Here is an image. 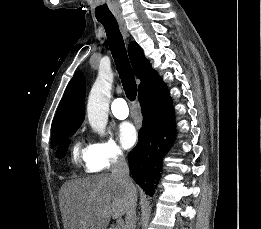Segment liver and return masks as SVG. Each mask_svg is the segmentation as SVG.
<instances>
[{
	"label": "liver",
	"mask_w": 261,
	"mask_h": 229,
	"mask_svg": "<svg viewBox=\"0 0 261 229\" xmlns=\"http://www.w3.org/2000/svg\"><path fill=\"white\" fill-rule=\"evenodd\" d=\"M65 191L67 229H107L111 217L120 219L127 213L131 199L137 197L136 187L128 193L112 175L72 179Z\"/></svg>",
	"instance_id": "6515ba94"
}]
</instances>
